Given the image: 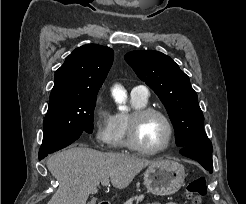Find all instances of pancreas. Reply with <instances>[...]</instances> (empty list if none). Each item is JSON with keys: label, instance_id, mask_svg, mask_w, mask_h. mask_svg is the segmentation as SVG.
Masks as SVG:
<instances>
[{"label": "pancreas", "instance_id": "1", "mask_svg": "<svg viewBox=\"0 0 246 204\" xmlns=\"http://www.w3.org/2000/svg\"><path fill=\"white\" fill-rule=\"evenodd\" d=\"M144 199V195L134 196L131 197L129 200H127L124 204H133L135 201V204H139Z\"/></svg>", "mask_w": 246, "mask_h": 204}]
</instances>
